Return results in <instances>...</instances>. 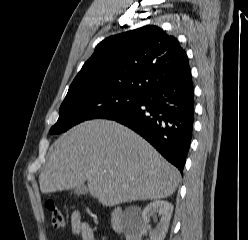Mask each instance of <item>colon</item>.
<instances>
[{
    "label": "colon",
    "mask_w": 248,
    "mask_h": 240,
    "mask_svg": "<svg viewBox=\"0 0 248 240\" xmlns=\"http://www.w3.org/2000/svg\"><path fill=\"white\" fill-rule=\"evenodd\" d=\"M46 207L51 216L53 226L57 229L67 228L68 220L65 214L53 202H47Z\"/></svg>",
    "instance_id": "5ec220e1"
}]
</instances>
